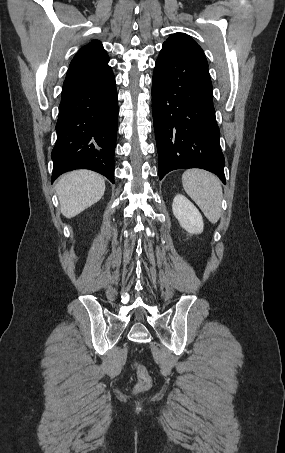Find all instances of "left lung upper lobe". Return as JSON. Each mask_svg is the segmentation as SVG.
I'll return each mask as SVG.
<instances>
[{
	"instance_id": "obj_1",
	"label": "left lung upper lobe",
	"mask_w": 285,
	"mask_h": 453,
	"mask_svg": "<svg viewBox=\"0 0 285 453\" xmlns=\"http://www.w3.org/2000/svg\"><path fill=\"white\" fill-rule=\"evenodd\" d=\"M163 46L166 48H173L182 51L208 65L201 47L189 35L185 33H175L171 35L163 43Z\"/></svg>"
}]
</instances>
